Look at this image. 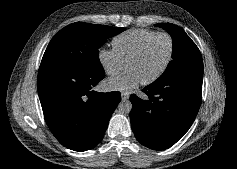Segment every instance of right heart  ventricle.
<instances>
[{
	"mask_svg": "<svg viewBox=\"0 0 237 169\" xmlns=\"http://www.w3.org/2000/svg\"><path fill=\"white\" fill-rule=\"evenodd\" d=\"M156 31L149 29H131L125 31L112 40L113 49L118 53L120 58L126 62L139 46Z\"/></svg>",
	"mask_w": 237,
	"mask_h": 169,
	"instance_id": "1",
	"label": "right heart ventricle"
}]
</instances>
